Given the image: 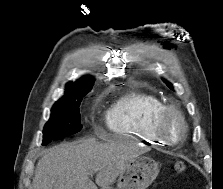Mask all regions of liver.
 <instances>
[{
  "instance_id": "1",
  "label": "liver",
  "mask_w": 223,
  "mask_h": 189,
  "mask_svg": "<svg viewBox=\"0 0 223 189\" xmlns=\"http://www.w3.org/2000/svg\"><path fill=\"white\" fill-rule=\"evenodd\" d=\"M140 153L134 145L94 138L53 146L37 163L33 189H108ZM91 172H97L95 183Z\"/></svg>"
}]
</instances>
